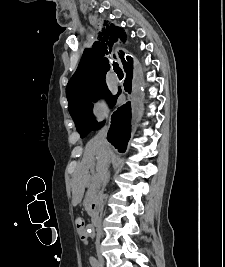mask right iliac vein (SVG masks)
<instances>
[{
    "label": "right iliac vein",
    "mask_w": 225,
    "mask_h": 267,
    "mask_svg": "<svg viewBox=\"0 0 225 267\" xmlns=\"http://www.w3.org/2000/svg\"><path fill=\"white\" fill-rule=\"evenodd\" d=\"M98 262L100 264V267H104L105 259L102 257V255L100 253H98Z\"/></svg>",
    "instance_id": "1"
}]
</instances>
